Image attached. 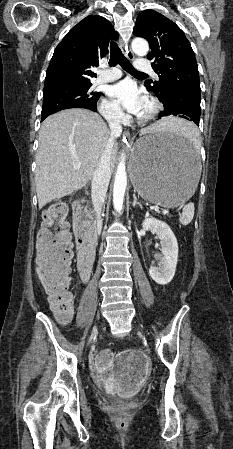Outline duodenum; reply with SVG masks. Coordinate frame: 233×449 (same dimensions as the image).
I'll return each instance as SVG.
<instances>
[{
  "label": "duodenum",
  "mask_w": 233,
  "mask_h": 449,
  "mask_svg": "<svg viewBox=\"0 0 233 449\" xmlns=\"http://www.w3.org/2000/svg\"><path fill=\"white\" fill-rule=\"evenodd\" d=\"M75 206L74 224L78 247V270L80 274L82 272L91 274L97 252V238L91 231L78 201Z\"/></svg>",
  "instance_id": "1"
}]
</instances>
